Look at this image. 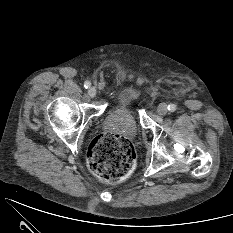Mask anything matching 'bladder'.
Returning <instances> with one entry per match:
<instances>
[{
  "label": "bladder",
  "instance_id": "obj_1",
  "mask_svg": "<svg viewBox=\"0 0 233 233\" xmlns=\"http://www.w3.org/2000/svg\"><path fill=\"white\" fill-rule=\"evenodd\" d=\"M141 98V90L137 86L134 85H127L123 87L119 94L118 100L122 105H131L136 103ZM137 131V124L135 119H132L131 123V133H136Z\"/></svg>",
  "mask_w": 233,
  "mask_h": 233
}]
</instances>
